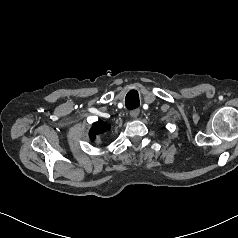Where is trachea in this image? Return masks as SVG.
Masks as SVG:
<instances>
[{
    "label": "trachea",
    "instance_id": "1",
    "mask_svg": "<svg viewBox=\"0 0 238 238\" xmlns=\"http://www.w3.org/2000/svg\"><path fill=\"white\" fill-rule=\"evenodd\" d=\"M125 104L128 109H134L140 105L138 92L136 90H131L127 93Z\"/></svg>",
    "mask_w": 238,
    "mask_h": 238
}]
</instances>
